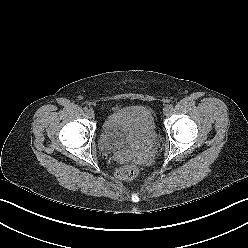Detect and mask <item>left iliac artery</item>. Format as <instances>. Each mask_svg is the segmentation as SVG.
I'll use <instances>...</instances> for the list:
<instances>
[{
	"instance_id": "left-iliac-artery-1",
	"label": "left iliac artery",
	"mask_w": 248,
	"mask_h": 248,
	"mask_svg": "<svg viewBox=\"0 0 248 248\" xmlns=\"http://www.w3.org/2000/svg\"><path fill=\"white\" fill-rule=\"evenodd\" d=\"M170 108L172 109V108H173V106H172V105H170Z\"/></svg>"
}]
</instances>
